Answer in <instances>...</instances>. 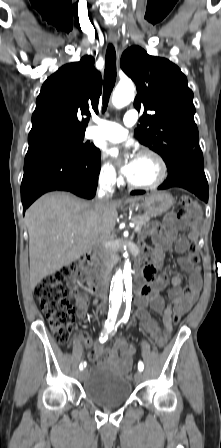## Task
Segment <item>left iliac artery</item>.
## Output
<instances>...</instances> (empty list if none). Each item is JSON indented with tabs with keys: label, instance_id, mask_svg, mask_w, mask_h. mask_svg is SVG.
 <instances>
[{
	"label": "left iliac artery",
	"instance_id": "44dca946",
	"mask_svg": "<svg viewBox=\"0 0 221 448\" xmlns=\"http://www.w3.org/2000/svg\"><path fill=\"white\" fill-rule=\"evenodd\" d=\"M128 318H129V314H124V316L122 317L121 321L126 323L128 321ZM143 369H144V364L140 361L138 363V370L139 371H143Z\"/></svg>",
	"mask_w": 221,
	"mask_h": 448
}]
</instances>
